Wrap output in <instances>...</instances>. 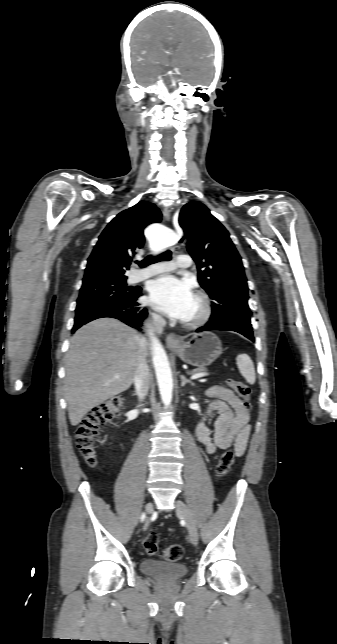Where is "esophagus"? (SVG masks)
Listing matches in <instances>:
<instances>
[{
  "instance_id": "34e87169",
  "label": "esophagus",
  "mask_w": 337,
  "mask_h": 644,
  "mask_svg": "<svg viewBox=\"0 0 337 644\" xmlns=\"http://www.w3.org/2000/svg\"><path fill=\"white\" fill-rule=\"evenodd\" d=\"M163 217H164V220L166 222H170L171 213H170L169 209L165 208L163 210ZM171 250L175 253V252H177V247L173 246V247H171ZM166 343H167L168 346H178V345L181 344V339L179 338L178 335H176L174 333H170V334L167 335Z\"/></svg>"
}]
</instances>
